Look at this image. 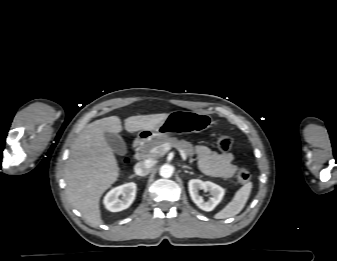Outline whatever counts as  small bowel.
<instances>
[{
  "mask_svg": "<svg viewBox=\"0 0 337 261\" xmlns=\"http://www.w3.org/2000/svg\"><path fill=\"white\" fill-rule=\"evenodd\" d=\"M195 152L200 169L207 175L230 178L238 169L230 152L219 153L204 145L197 146Z\"/></svg>",
  "mask_w": 337,
  "mask_h": 261,
  "instance_id": "obj_1",
  "label": "small bowel"
}]
</instances>
